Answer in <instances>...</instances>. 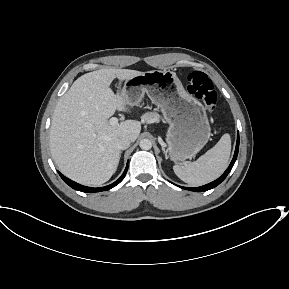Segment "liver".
<instances>
[{"label": "liver", "instance_id": "liver-1", "mask_svg": "<svg viewBox=\"0 0 289 289\" xmlns=\"http://www.w3.org/2000/svg\"><path fill=\"white\" fill-rule=\"evenodd\" d=\"M143 72L103 68L86 73L74 81L59 99L50 127L52 158L60 171L84 185H101L116 172L120 150L116 142L128 137L134 142L141 123L126 120L115 126L108 119L115 111H129L123 89L114 94L110 84Z\"/></svg>", "mask_w": 289, "mask_h": 289}]
</instances>
